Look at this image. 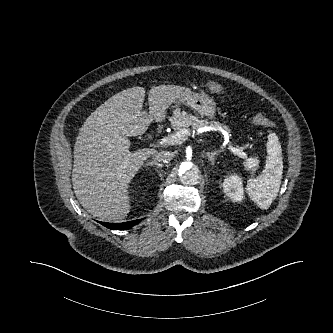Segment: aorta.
I'll use <instances>...</instances> for the list:
<instances>
[{
	"label": "aorta",
	"mask_w": 333,
	"mask_h": 333,
	"mask_svg": "<svg viewBox=\"0 0 333 333\" xmlns=\"http://www.w3.org/2000/svg\"><path fill=\"white\" fill-rule=\"evenodd\" d=\"M177 172L182 183L196 185L200 178V171L196 165L189 160H181L177 165Z\"/></svg>",
	"instance_id": "aorta-1"
}]
</instances>
